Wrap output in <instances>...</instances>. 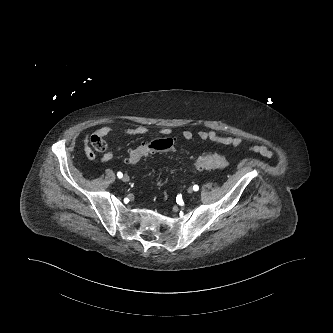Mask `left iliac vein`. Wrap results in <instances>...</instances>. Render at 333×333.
Returning a JSON list of instances; mask_svg holds the SVG:
<instances>
[{
	"mask_svg": "<svg viewBox=\"0 0 333 333\" xmlns=\"http://www.w3.org/2000/svg\"><path fill=\"white\" fill-rule=\"evenodd\" d=\"M187 191H188L189 194H191V193H193V188L189 187Z\"/></svg>",
	"mask_w": 333,
	"mask_h": 333,
	"instance_id": "obj_1",
	"label": "left iliac vein"
}]
</instances>
